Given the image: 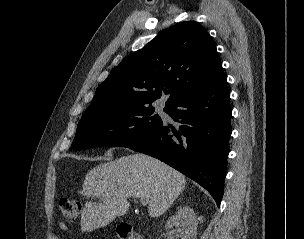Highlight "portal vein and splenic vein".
Instances as JSON below:
<instances>
[{
  "instance_id": "obj_1",
  "label": "portal vein and splenic vein",
  "mask_w": 304,
  "mask_h": 239,
  "mask_svg": "<svg viewBox=\"0 0 304 239\" xmlns=\"http://www.w3.org/2000/svg\"><path fill=\"white\" fill-rule=\"evenodd\" d=\"M140 203L142 205H146L148 203V201L145 198H140Z\"/></svg>"
}]
</instances>
